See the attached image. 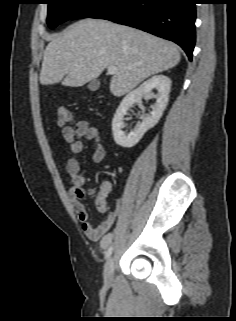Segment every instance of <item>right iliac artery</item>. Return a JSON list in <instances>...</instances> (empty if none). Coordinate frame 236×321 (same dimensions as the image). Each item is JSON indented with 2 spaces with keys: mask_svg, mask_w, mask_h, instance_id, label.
<instances>
[{
  "mask_svg": "<svg viewBox=\"0 0 236 321\" xmlns=\"http://www.w3.org/2000/svg\"><path fill=\"white\" fill-rule=\"evenodd\" d=\"M112 251H113V246H109L107 251H106V258H108L111 254H112Z\"/></svg>",
  "mask_w": 236,
  "mask_h": 321,
  "instance_id": "right-iliac-artery-1",
  "label": "right iliac artery"
}]
</instances>
